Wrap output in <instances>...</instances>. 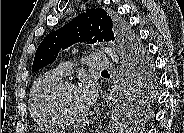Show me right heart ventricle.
Instances as JSON below:
<instances>
[{
    "mask_svg": "<svg viewBox=\"0 0 184 133\" xmlns=\"http://www.w3.org/2000/svg\"><path fill=\"white\" fill-rule=\"evenodd\" d=\"M64 80L57 70H49L40 75L30 93V110L35 121L42 126H56L58 120L50 109L53 89Z\"/></svg>",
    "mask_w": 184,
    "mask_h": 133,
    "instance_id": "1",
    "label": "right heart ventricle"
}]
</instances>
